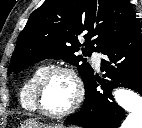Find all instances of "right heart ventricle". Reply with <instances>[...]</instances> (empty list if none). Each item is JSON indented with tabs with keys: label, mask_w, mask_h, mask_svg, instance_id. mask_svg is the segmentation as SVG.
I'll return each instance as SVG.
<instances>
[{
	"label": "right heart ventricle",
	"mask_w": 142,
	"mask_h": 128,
	"mask_svg": "<svg viewBox=\"0 0 142 128\" xmlns=\"http://www.w3.org/2000/svg\"><path fill=\"white\" fill-rule=\"evenodd\" d=\"M47 68L48 66L46 64L36 66L21 85L19 91V101L23 109L32 112L37 111L34 100L35 85L41 74Z\"/></svg>",
	"instance_id": "right-heart-ventricle-1"
}]
</instances>
